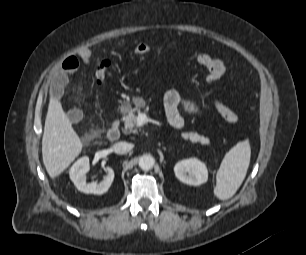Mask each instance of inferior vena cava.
Returning a JSON list of instances; mask_svg holds the SVG:
<instances>
[{
    "instance_id": "inferior-vena-cava-1",
    "label": "inferior vena cava",
    "mask_w": 306,
    "mask_h": 255,
    "mask_svg": "<svg viewBox=\"0 0 306 255\" xmlns=\"http://www.w3.org/2000/svg\"><path fill=\"white\" fill-rule=\"evenodd\" d=\"M132 148H133V145L127 142H118L113 145V150L117 154H125L129 152Z\"/></svg>"
}]
</instances>
